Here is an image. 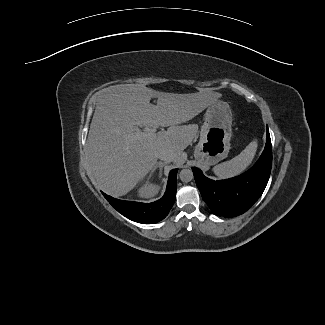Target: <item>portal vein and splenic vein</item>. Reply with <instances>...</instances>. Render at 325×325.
<instances>
[{"instance_id": "18ae733b", "label": "portal vein and splenic vein", "mask_w": 325, "mask_h": 325, "mask_svg": "<svg viewBox=\"0 0 325 325\" xmlns=\"http://www.w3.org/2000/svg\"><path fill=\"white\" fill-rule=\"evenodd\" d=\"M158 135H160V132H155V130H147L145 132H141L139 129L136 131L135 136L137 138H142V139H154Z\"/></svg>"}]
</instances>
